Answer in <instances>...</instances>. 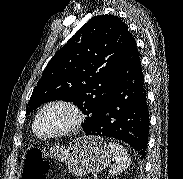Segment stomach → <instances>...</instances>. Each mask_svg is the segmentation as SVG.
Listing matches in <instances>:
<instances>
[{"label":"stomach","mask_w":183,"mask_h":179,"mask_svg":"<svg viewBox=\"0 0 183 179\" xmlns=\"http://www.w3.org/2000/svg\"><path fill=\"white\" fill-rule=\"evenodd\" d=\"M47 156L65 162L69 171L76 176L105 169L112 154L105 140L100 136H81L74 139L68 147L55 144Z\"/></svg>","instance_id":"stomach-1"}]
</instances>
